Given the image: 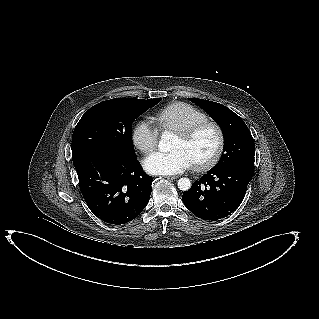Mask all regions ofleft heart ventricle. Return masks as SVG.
<instances>
[{
  "mask_svg": "<svg viewBox=\"0 0 319 319\" xmlns=\"http://www.w3.org/2000/svg\"><path fill=\"white\" fill-rule=\"evenodd\" d=\"M216 147V135L213 129L205 128L190 140H183L175 136L170 149H182L190 158L192 163L207 160Z\"/></svg>",
  "mask_w": 319,
  "mask_h": 319,
  "instance_id": "b2bd125f",
  "label": "left heart ventricle"
}]
</instances>
